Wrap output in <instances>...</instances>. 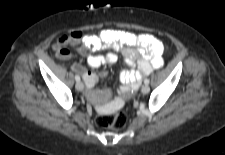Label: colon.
<instances>
[{
    "mask_svg": "<svg viewBox=\"0 0 225 155\" xmlns=\"http://www.w3.org/2000/svg\"><path fill=\"white\" fill-rule=\"evenodd\" d=\"M66 36L60 37L56 44L59 46V52L61 54H66L67 49L63 48V43L66 41ZM127 123V116L121 110L118 113H109L105 111L102 115L96 118V125L99 127L109 128L113 130H119L125 127Z\"/></svg>",
    "mask_w": 225,
    "mask_h": 155,
    "instance_id": "colon-1",
    "label": "colon"
}]
</instances>
